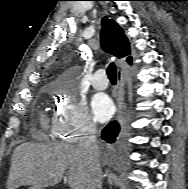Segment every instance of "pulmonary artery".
Listing matches in <instances>:
<instances>
[{
    "mask_svg": "<svg viewBox=\"0 0 188 189\" xmlns=\"http://www.w3.org/2000/svg\"><path fill=\"white\" fill-rule=\"evenodd\" d=\"M91 85L97 90H103L107 88L108 80L105 70L99 69L93 74Z\"/></svg>",
    "mask_w": 188,
    "mask_h": 189,
    "instance_id": "1",
    "label": "pulmonary artery"
}]
</instances>
